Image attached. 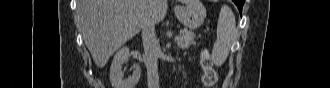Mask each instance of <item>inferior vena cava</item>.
<instances>
[{
	"mask_svg": "<svg viewBox=\"0 0 330 88\" xmlns=\"http://www.w3.org/2000/svg\"><path fill=\"white\" fill-rule=\"evenodd\" d=\"M145 65L147 68L148 88H159L158 54L160 46L156 37L155 23L146 20L142 26Z\"/></svg>",
	"mask_w": 330,
	"mask_h": 88,
	"instance_id": "1",
	"label": "inferior vena cava"
}]
</instances>
